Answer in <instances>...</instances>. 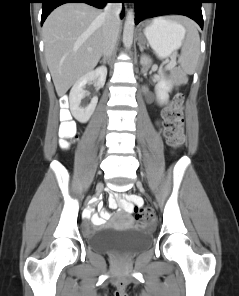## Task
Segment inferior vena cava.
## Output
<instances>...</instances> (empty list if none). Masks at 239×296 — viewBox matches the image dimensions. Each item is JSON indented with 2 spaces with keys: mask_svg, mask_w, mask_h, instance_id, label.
<instances>
[{
  "mask_svg": "<svg viewBox=\"0 0 239 296\" xmlns=\"http://www.w3.org/2000/svg\"><path fill=\"white\" fill-rule=\"evenodd\" d=\"M122 10V3H108L104 9L103 17V51L104 58H109L115 48L119 34V15Z\"/></svg>",
  "mask_w": 239,
  "mask_h": 296,
  "instance_id": "1",
  "label": "inferior vena cava"
}]
</instances>
